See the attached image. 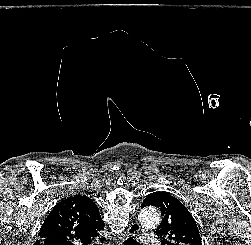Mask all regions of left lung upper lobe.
<instances>
[{
    "mask_svg": "<svg viewBox=\"0 0 251 245\" xmlns=\"http://www.w3.org/2000/svg\"><path fill=\"white\" fill-rule=\"evenodd\" d=\"M149 205L159 208L163 216L155 231L161 245H202L194 218L177 198L158 191L147 195L141 208Z\"/></svg>",
    "mask_w": 251,
    "mask_h": 245,
    "instance_id": "left-lung-upper-lobe-1",
    "label": "left lung upper lobe"
}]
</instances>
